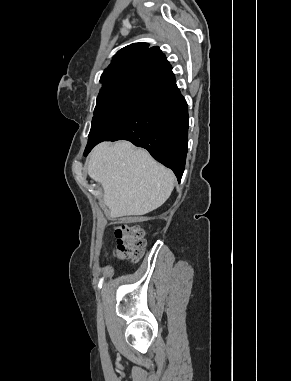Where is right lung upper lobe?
Masks as SVG:
<instances>
[{"label":"right lung upper lobe","mask_w":291,"mask_h":381,"mask_svg":"<svg viewBox=\"0 0 291 381\" xmlns=\"http://www.w3.org/2000/svg\"><path fill=\"white\" fill-rule=\"evenodd\" d=\"M170 65L159 47L147 43H133L117 52L100 81L107 89L132 77H144Z\"/></svg>","instance_id":"1"}]
</instances>
